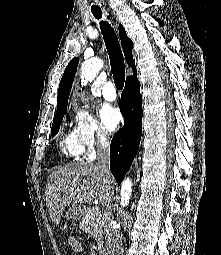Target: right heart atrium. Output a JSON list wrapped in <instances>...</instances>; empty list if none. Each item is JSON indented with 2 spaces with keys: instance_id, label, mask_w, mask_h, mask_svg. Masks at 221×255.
I'll return each mask as SVG.
<instances>
[{
  "instance_id": "1",
  "label": "right heart atrium",
  "mask_w": 221,
  "mask_h": 255,
  "mask_svg": "<svg viewBox=\"0 0 221 255\" xmlns=\"http://www.w3.org/2000/svg\"><path fill=\"white\" fill-rule=\"evenodd\" d=\"M74 132L77 135L84 152L91 155L95 149L105 145L108 141L107 134L99 125L91 112L79 108L74 112Z\"/></svg>"
}]
</instances>
